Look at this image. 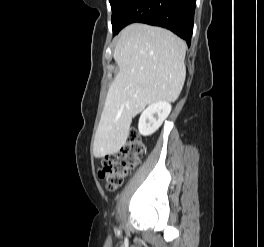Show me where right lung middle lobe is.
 <instances>
[{"label":"right lung middle lobe","instance_id":"1","mask_svg":"<svg viewBox=\"0 0 264 247\" xmlns=\"http://www.w3.org/2000/svg\"><path fill=\"white\" fill-rule=\"evenodd\" d=\"M130 0H109L111 4V9H112V18H111V23H112V28L113 32L116 30L117 27V20L128 4Z\"/></svg>","mask_w":264,"mask_h":247}]
</instances>
